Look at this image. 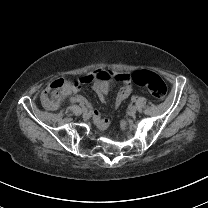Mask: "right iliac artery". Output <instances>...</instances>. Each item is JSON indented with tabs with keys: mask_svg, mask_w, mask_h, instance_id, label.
<instances>
[{
	"mask_svg": "<svg viewBox=\"0 0 208 208\" xmlns=\"http://www.w3.org/2000/svg\"><path fill=\"white\" fill-rule=\"evenodd\" d=\"M80 106H81L82 109L85 108V105L83 103H80Z\"/></svg>",
	"mask_w": 208,
	"mask_h": 208,
	"instance_id": "1",
	"label": "right iliac artery"
}]
</instances>
